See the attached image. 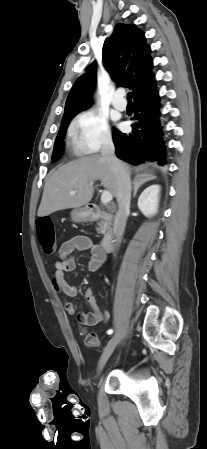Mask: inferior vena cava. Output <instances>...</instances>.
<instances>
[{"instance_id": "1", "label": "inferior vena cava", "mask_w": 207, "mask_h": 449, "mask_svg": "<svg viewBox=\"0 0 207 449\" xmlns=\"http://www.w3.org/2000/svg\"><path fill=\"white\" fill-rule=\"evenodd\" d=\"M101 156L110 166L116 180L118 211L114 218L113 233L116 237V245H119L130 209L131 180L125 165L115 156V147L111 138L104 141Z\"/></svg>"}]
</instances>
